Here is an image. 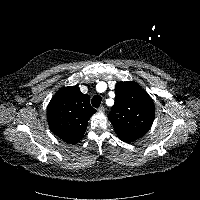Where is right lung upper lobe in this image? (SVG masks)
Masks as SVG:
<instances>
[{"mask_svg":"<svg viewBox=\"0 0 200 200\" xmlns=\"http://www.w3.org/2000/svg\"><path fill=\"white\" fill-rule=\"evenodd\" d=\"M95 112L90 97L76 85L62 88L53 96L48 104L47 119L55 135L74 145L83 137L88 120Z\"/></svg>","mask_w":200,"mask_h":200,"instance_id":"right-lung-upper-lobe-1","label":"right lung upper lobe"}]
</instances>
